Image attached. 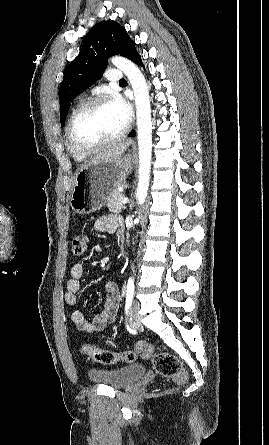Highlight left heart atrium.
I'll return each instance as SVG.
<instances>
[{"label": "left heart atrium", "mask_w": 269, "mask_h": 445, "mask_svg": "<svg viewBox=\"0 0 269 445\" xmlns=\"http://www.w3.org/2000/svg\"><path fill=\"white\" fill-rule=\"evenodd\" d=\"M112 107L119 114L121 119L127 125L132 119V109L128 102H126L122 97L115 95L110 101Z\"/></svg>", "instance_id": "1"}]
</instances>
